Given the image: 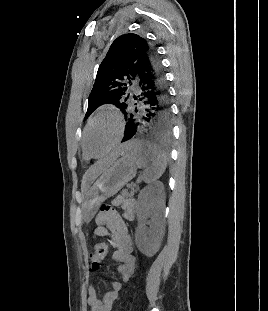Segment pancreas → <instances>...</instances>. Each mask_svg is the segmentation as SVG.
Returning a JSON list of instances; mask_svg holds the SVG:
<instances>
[{
    "label": "pancreas",
    "instance_id": "1",
    "mask_svg": "<svg viewBox=\"0 0 268 311\" xmlns=\"http://www.w3.org/2000/svg\"><path fill=\"white\" fill-rule=\"evenodd\" d=\"M122 209L124 210V217L127 219L133 218L135 213L136 202L134 199L129 198V194L122 195L121 197Z\"/></svg>",
    "mask_w": 268,
    "mask_h": 311
}]
</instances>
